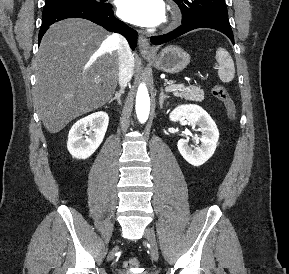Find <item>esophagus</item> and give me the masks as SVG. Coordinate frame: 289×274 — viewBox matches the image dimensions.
<instances>
[{"instance_id": "34e87169", "label": "esophagus", "mask_w": 289, "mask_h": 274, "mask_svg": "<svg viewBox=\"0 0 289 274\" xmlns=\"http://www.w3.org/2000/svg\"><path fill=\"white\" fill-rule=\"evenodd\" d=\"M139 51L143 56H149L152 54L148 39L144 35H139L138 38Z\"/></svg>"}]
</instances>
